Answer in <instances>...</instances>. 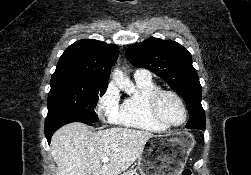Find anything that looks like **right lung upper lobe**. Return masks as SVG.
I'll return each mask as SVG.
<instances>
[{
    "label": "right lung upper lobe",
    "mask_w": 251,
    "mask_h": 175,
    "mask_svg": "<svg viewBox=\"0 0 251 175\" xmlns=\"http://www.w3.org/2000/svg\"><path fill=\"white\" fill-rule=\"evenodd\" d=\"M118 54L113 44L94 39L76 41L60 57L52 79L107 86L111 66Z\"/></svg>",
    "instance_id": "right-lung-upper-lobe-1"
}]
</instances>
